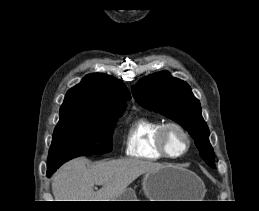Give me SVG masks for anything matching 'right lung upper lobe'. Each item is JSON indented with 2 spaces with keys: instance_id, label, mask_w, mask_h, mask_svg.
<instances>
[{
  "instance_id": "right-lung-upper-lobe-1",
  "label": "right lung upper lobe",
  "mask_w": 259,
  "mask_h": 211,
  "mask_svg": "<svg viewBox=\"0 0 259 211\" xmlns=\"http://www.w3.org/2000/svg\"><path fill=\"white\" fill-rule=\"evenodd\" d=\"M129 91L120 81L104 74H89L71 88L60 108V115L71 111L121 112L130 99Z\"/></svg>"
}]
</instances>
